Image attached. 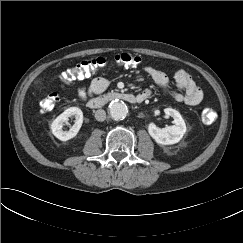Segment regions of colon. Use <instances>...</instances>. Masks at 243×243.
<instances>
[{
	"instance_id": "1",
	"label": "colon",
	"mask_w": 243,
	"mask_h": 243,
	"mask_svg": "<svg viewBox=\"0 0 243 243\" xmlns=\"http://www.w3.org/2000/svg\"><path fill=\"white\" fill-rule=\"evenodd\" d=\"M142 63V58L138 55L130 53H119L108 59L105 57H97L94 59L82 61L71 69H67L61 75V79L65 83H70L75 79H83L89 77L93 73L104 69L110 64L123 66H138ZM59 100L57 93H49L41 102L40 108L42 112L50 111L54 108ZM201 119L204 124L210 125L217 119V113L214 109L207 106L202 110Z\"/></svg>"
}]
</instances>
